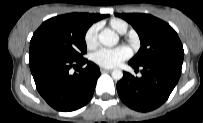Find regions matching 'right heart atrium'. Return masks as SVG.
Returning a JSON list of instances; mask_svg holds the SVG:
<instances>
[{
	"label": "right heart atrium",
	"instance_id": "d8ad5b80",
	"mask_svg": "<svg viewBox=\"0 0 203 123\" xmlns=\"http://www.w3.org/2000/svg\"><path fill=\"white\" fill-rule=\"evenodd\" d=\"M98 29L97 24L92 25L86 32L84 40L88 48H94L97 45L98 41Z\"/></svg>",
	"mask_w": 203,
	"mask_h": 123
}]
</instances>
